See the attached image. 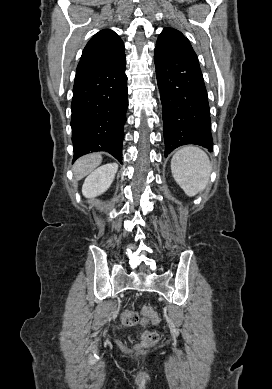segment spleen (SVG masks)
<instances>
[{
	"instance_id": "spleen-1",
	"label": "spleen",
	"mask_w": 272,
	"mask_h": 389,
	"mask_svg": "<svg viewBox=\"0 0 272 389\" xmlns=\"http://www.w3.org/2000/svg\"><path fill=\"white\" fill-rule=\"evenodd\" d=\"M171 172L185 194L192 197L206 187L211 172V163L203 150L187 146L173 155Z\"/></svg>"
}]
</instances>
